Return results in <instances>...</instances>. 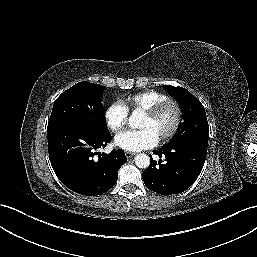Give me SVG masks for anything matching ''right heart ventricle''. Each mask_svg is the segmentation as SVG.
<instances>
[{
	"mask_svg": "<svg viewBox=\"0 0 257 257\" xmlns=\"http://www.w3.org/2000/svg\"><path fill=\"white\" fill-rule=\"evenodd\" d=\"M168 98V95L164 92L157 90H146L126 97L123 103L128 110L136 112L145 111Z\"/></svg>",
	"mask_w": 257,
	"mask_h": 257,
	"instance_id": "e07e8e85",
	"label": "right heart ventricle"
}]
</instances>
